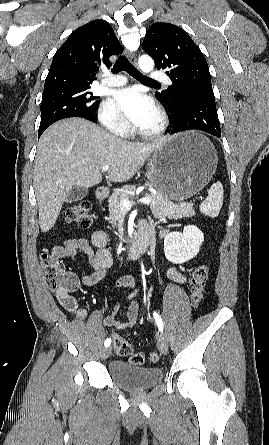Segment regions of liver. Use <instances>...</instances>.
<instances>
[{"instance_id":"obj_1","label":"liver","mask_w":269,"mask_h":445,"mask_svg":"<svg viewBox=\"0 0 269 445\" xmlns=\"http://www.w3.org/2000/svg\"><path fill=\"white\" fill-rule=\"evenodd\" d=\"M167 139L127 142L83 118H68L50 126L40 137L34 162L41 231L54 226L73 186L89 188L101 183L104 165L111 166L109 181H127Z\"/></svg>"}]
</instances>
